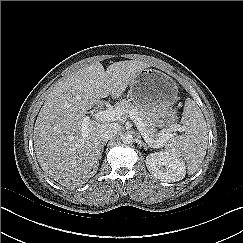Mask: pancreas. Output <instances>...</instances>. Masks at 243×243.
Segmentation results:
<instances>
[{"instance_id": "cf45deb5", "label": "pancreas", "mask_w": 243, "mask_h": 243, "mask_svg": "<svg viewBox=\"0 0 243 243\" xmlns=\"http://www.w3.org/2000/svg\"><path fill=\"white\" fill-rule=\"evenodd\" d=\"M117 107L122 109L125 112V116L128 115L130 110H135L138 117L141 119L142 123L144 124V128L148 137L152 141L159 142L161 136L164 132H157L156 125L153 121L152 115L145 109L139 108L138 106L132 104L128 100H121L119 103L116 104ZM167 133V132H166Z\"/></svg>"}]
</instances>
